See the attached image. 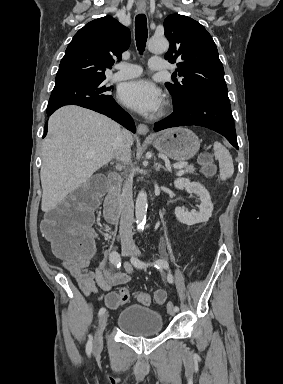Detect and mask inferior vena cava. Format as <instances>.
<instances>
[{"label": "inferior vena cava", "mask_w": 283, "mask_h": 384, "mask_svg": "<svg viewBox=\"0 0 283 384\" xmlns=\"http://www.w3.org/2000/svg\"><path fill=\"white\" fill-rule=\"evenodd\" d=\"M131 138L127 130H121L120 134L116 136L113 144V150L116 160L129 164L131 158V148L129 144ZM121 216H120V238L122 248H134L132 224L134 204L132 198V178H126L123 184L121 196Z\"/></svg>", "instance_id": "602c4592"}]
</instances>
